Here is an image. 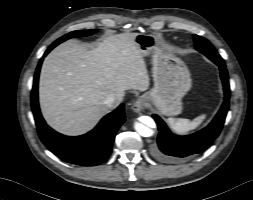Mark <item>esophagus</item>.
Here are the masks:
<instances>
[{"label":"esophagus","instance_id":"obj_1","mask_svg":"<svg viewBox=\"0 0 253 200\" xmlns=\"http://www.w3.org/2000/svg\"><path fill=\"white\" fill-rule=\"evenodd\" d=\"M145 107V100L143 98H138L135 100L131 106L132 110L139 113Z\"/></svg>","mask_w":253,"mask_h":200}]
</instances>
